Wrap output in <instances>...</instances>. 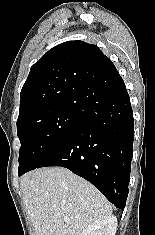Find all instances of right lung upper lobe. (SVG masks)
Masks as SVG:
<instances>
[{"mask_svg":"<svg viewBox=\"0 0 155 235\" xmlns=\"http://www.w3.org/2000/svg\"><path fill=\"white\" fill-rule=\"evenodd\" d=\"M121 78L95 45L67 41L46 52L30 69L20 93L19 116L45 105L79 111L93 88Z\"/></svg>","mask_w":155,"mask_h":235,"instance_id":"right-lung-upper-lobe-1","label":"right lung upper lobe"}]
</instances>
